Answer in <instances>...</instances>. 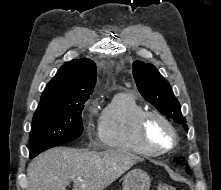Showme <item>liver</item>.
Segmentation results:
<instances>
[{
    "label": "liver",
    "instance_id": "obj_1",
    "mask_svg": "<svg viewBox=\"0 0 221 190\" xmlns=\"http://www.w3.org/2000/svg\"><path fill=\"white\" fill-rule=\"evenodd\" d=\"M142 161L141 157L124 149L95 152L53 148L28 165V190H66L71 181L73 190H103Z\"/></svg>",
    "mask_w": 221,
    "mask_h": 190
}]
</instances>
